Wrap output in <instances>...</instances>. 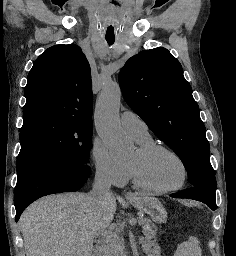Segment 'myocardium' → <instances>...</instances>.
Returning <instances> with one entry per match:
<instances>
[{"label": "myocardium", "instance_id": "myocardium-1", "mask_svg": "<svg viewBox=\"0 0 236 256\" xmlns=\"http://www.w3.org/2000/svg\"><path fill=\"white\" fill-rule=\"evenodd\" d=\"M167 152L171 155H173L181 164L182 169H183V176L181 181L171 187H156L151 185L144 177L141 168L139 164H131L128 163L129 171L132 177L133 182L135 183L136 186L141 188L144 191L151 192V193H169L176 191L180 189L181 187L184 186V184L187 181L188 178V167L185 162V160L182 158V156L173 150L172 148H169L165 145L157 144V143H149L145 145H140L137 148L138 155L141 160L145 159L146 157L153 155L158 152Z\"/></svg>", "mask_w": 236, "mask_h": 256}]
</instances>
